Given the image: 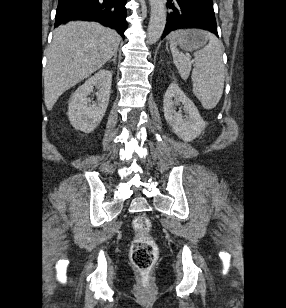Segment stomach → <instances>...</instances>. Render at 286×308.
<instances>
[{"mask_svg":"<svg viewBox=\"0 0 286 308\" xmlns=\"http://www.w3.org/2000/svg\"><path fill=\"white\" fill-rule=\"evenodd\" d=\"M173 37L176 45L186 51L199 49L200 47L204 46L208 40L203 31L200 30H186L179 36H174V34H172L169 37V40H171Z\"/></svg>","mask_w":286,"mask_h":308,"instance_id":"obj_1","label":"stomach"}]
</instances>
